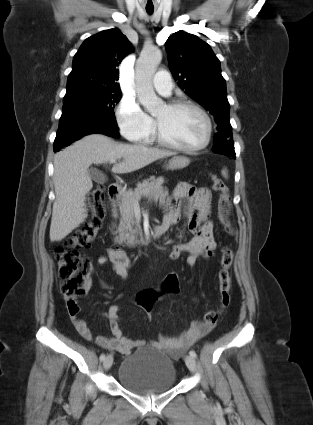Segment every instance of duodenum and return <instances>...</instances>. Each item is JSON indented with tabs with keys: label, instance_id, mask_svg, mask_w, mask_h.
<instances>
[{
	"label": "duodenum",
	"instance_id": "1",
	"mask_svg": "<svg viewBox=\"0 0 313 425\" xmlns=\"http://www.w3.org/2000/svg\"><path fill=\"white\" fill-rule=\"evenodd\" d=\"M119 185L118 184H116V183H112V184H110L109 186H108V194H109V198H110V200H111V202L112 203H114V202H116V200H117V198H118V195H119ZM166 231V229L161 225V226H156L153 230H152V232H151V234L149 235V236H145V235H142L140 238H139V242H138V244L139 245H143V244H145L149 239H150V237H159V236H161L164 232Z\"/></svg>",
	"mask_w": 313,
	"mask_h": 425
}]
</instances>
